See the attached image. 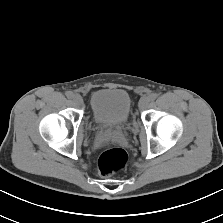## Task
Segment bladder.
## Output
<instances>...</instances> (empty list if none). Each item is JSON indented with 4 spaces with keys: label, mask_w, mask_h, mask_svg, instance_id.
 <instances>
[{
    "label": "bladder",
    "mask_w": 223,
    "mask_h": 223,
    "mask_svg": "<svg viewBox=\"0 0 223 223\" xmlns=\"http://www.w3.org/2000/svg\"><path fill=\"white\" fill-rule=\"evenodd\" d=\"M90 108L98 125L115 127L127 122L132 100L123 89H99L90 96Z\"/></svg>",
    "instance_id": "1"
}]
</instances>
